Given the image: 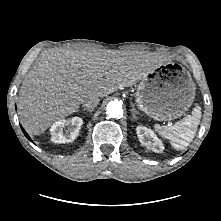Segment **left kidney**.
<instances>
[{"label": "left kidney", "mask_w": 221, "mask_h": 221, "mask_svg": "<svg viewBox=\"0 0 221 221\" xmlns=\"http://www.w3.org/2000/svg\"><path fill=\"white\" fill-rule=\"evenodd\" d=\"M136 133L139 141L142 145L146 146L149 150L154 152H162L164 149L162 141L156 136V134L145 126H138Z\"/></svg>", "instance_id": "left-kidney-1"}]
</instances>
